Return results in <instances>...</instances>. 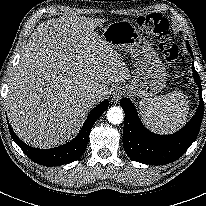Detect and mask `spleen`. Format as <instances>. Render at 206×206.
Instances as JSON below:
<instances>
[{
  "instance_id": "1",
  "label": "spleen",
  "mask_w": 206,
  "mask_h": 206,
  "mask_svg": "<svg viewBox=\"0 0 206 206\" xmlns=\"http://www.w3.org/2000/svg\"><path fill=\"white\" fill-rule=\"evenodd\" d=\"M188 111L187 96L178 90L140 102V114L144 124L158 133H170L179 129L185 124Z\"/></svg>"
}]
</instances>
